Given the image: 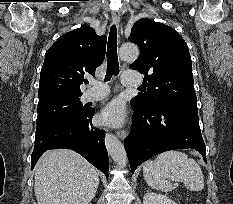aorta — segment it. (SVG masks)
<instances>
[{
  "instance_id": "obj_1",
  "label": "aorta",
  "mask_w": 233,
  "mask_h": 204,
  "mask_svg": "<svg viewBox=\"0 0 233 204\" xmlns=\"http://www.w3.org/2000/svg\"><path fill=\"white\" fill-rule=\"evenodd\" d=\"M120 58L124 61H135L139 55V49L134 44H123L119 49ZM105 145L109 155L118 167H125L127 155L123 144L113 134L105 135Z\"/></svg>"
}]
</instances>
